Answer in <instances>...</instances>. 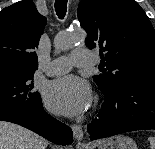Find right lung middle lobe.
<instances>
[{
    "mask_svg": "<svg viewBox=\"0 0 155 149\" xmlns=\"http://www.w3.org/2000/svg\"><path fill=\"white\" fill-rule=\"evenodd\" d=\"M34 72H16L0 68V111L26 114L41 101L34 91Z\"/></svg>",
    "mask_w": 155,
    "mask_h": 149,
    "instance_id": "obj_1",
    "label": "right lung middle lobe"
}]
</instances>
